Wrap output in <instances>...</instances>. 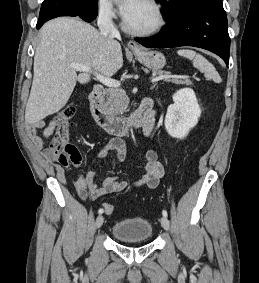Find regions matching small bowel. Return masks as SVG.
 Returning <instances> with one entry per match:
<instances>
[{
    "label": "small bowel",
    "mask_w": 259,
    "mask_h": 283,
    "mask_svg": "<svg viewBox=\"0 0 259 283\" xmlns=\"http://www.w3.org/2000/svg\"><path fill=\"white\" fill-rule=\"evenodd\" d=\"M153 122L143 128L146 135H150ZM55 131V122L50 120L45 123L43 120H37L28 124L26 132L33 142L36 150H42L44 141ZM116 151V162H122L127 156V148L125 143L120 139H111L99 151L98 156L101 159H107L110 151ZM45 154V152H44ZM46 156V154H45ZM145 173L143 177L136 181H118L116 176H111L103 180L101 185L95 183L97 170L93 169L82 174L80 163L74 165L78 170V176L74 181V186L81 199H98L109 193L121 192L130 188L146 185L149 188H156L160 180L164 176V167L159 161V152L155 149H149L145 154ZM49 169H51L49 167Z\"/></svg>",
    "instance_id": "small-bowel-1"
}]
</instances>
